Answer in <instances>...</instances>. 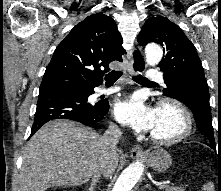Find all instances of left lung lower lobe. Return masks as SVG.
I'll return each mask as SVG.
<instances>
[{
	"label": "left lung lower lobe",
	"instance_id": "left-lung-lower-lobe-1",
	"mask_svg": "<svg viewBox=\"0 0 221 191\" xmlns=\"http://www.w3.org/2000/svg\"><path fill=\"white\" fill-rule=\"evenodd\" d=\"M190 105H192V112L197 124V121L203 118H211L210 105H209V92L208 86L205 83H197L190 89L188 94Z\"/></svg>",
	"mask_w": 221,
	"mask_h": 191
}]
</instances>
